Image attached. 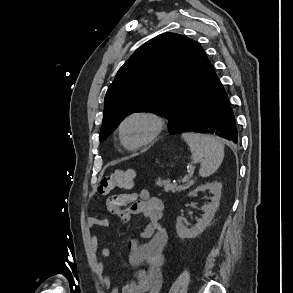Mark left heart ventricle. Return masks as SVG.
Returning a JSON list of instances; mask_svg holds the SVG:
<instances>
[{
	"instance_id": "left-heart-ventricle-1",
	"label": "left heart ventricle",
	"mask_w": 293,
	"mask_h": 293,
	"mask_svg": "<svg viewBox=\"0 0 293 293\" xmlns=\"http://www.w3.org/2000/svg\"><path fill=\"white\" fill-rule=\"evenodd\" d=\"M151 123L143 118H135L124 127V137L129 144L138 143L147 138L151 132Z\"/></svg>"
}]
</instances>
